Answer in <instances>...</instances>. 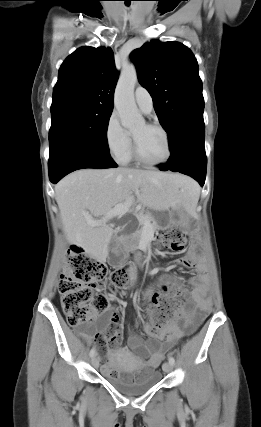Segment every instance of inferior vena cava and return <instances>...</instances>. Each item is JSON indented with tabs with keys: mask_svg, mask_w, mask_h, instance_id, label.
Here are the masks:
<instances>
[{
	"mask_svg": "<svg viewBox=\"0 0 261 427\" xmlns=\"http://www.w3.org/2000/svg\"><path fill=\"white\" fill-rule=\"evenodd\" d=\"M130 280L132 283H134L136 281V274L135 273H133V272L131 273Z\"/></svg>",
	"mask_w": 261,
	"mask_h": 427,
	"instance_id": "inferior-vena-cava-1",
	"label": "inferior vena cava"
}]
</instances>
